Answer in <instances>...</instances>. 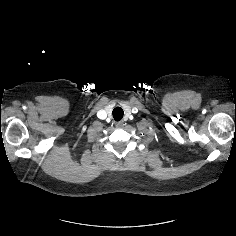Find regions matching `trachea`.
Here are the masks:
<instances>
[{
    "label": "trachea",
    "instance_id": "3493384b",
    "mask_svg": "<svg viewBox=\"0 0 236 236\" xmlns=\"http://www.w3.org/2000/svg\"><path fill=\"white\" fill-rule=\"evenodd\" d=\"M112 113H113V118L116 121H120L123 118V115H124V112H123L122 108H120V107L114 108Z\"/></svg>",
    "mask_w": 236,
    "mask_h": 236
}]
</instances>
